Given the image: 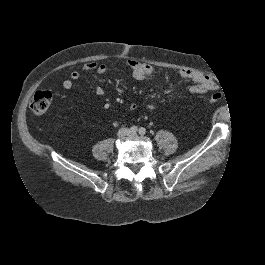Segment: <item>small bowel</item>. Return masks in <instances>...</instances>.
Instances as JSON below:
<instances>
[{
  "label": "small bowel",
  "mask_w": 265,
  "mask_h": 265,
  "mask_svg": "<svg viewBox=\"0 0 265 265\" xmlns=\"http://www.w3.org/2000/svg\"><path fill=\"white\" fill-rule=\"evenodd\" d=\"M127 66L132 70L133 76L138 81H147L155 77L154 68L143 62L136 60H128L126 62ZM94 71L100 75L107 71V66L105 63L100 62H87L80 70L74 69L70 72V78L63 81L62 86L65 90H70L73 87V82L80 77L81 72H91ZM179 76L184 79H189L194 82V85L189 87V92L193 94H204L209 91L215 90L216 84L208 76L193 71V70H181ZM95 92L98 96L104 95V90L101 86L97 85L95 87ZM132 108H136L137 104L132 103ZM149 111L156 109L155 105H147L146 107Z\"/></svg>",
  "instance_id": "c3829d8e"
}]
</instances>
